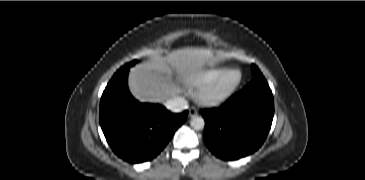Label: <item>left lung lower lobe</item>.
Segmentation results:
<instances>
[{
  "label": "left lung lower lobe",
  "instance_id": "left-lung-lower-lobe-1",
  "mask_svg": "<svg viewBox=\"0 0 365 180\" xmlns=\"http://www.w3.org/2000/svg\"><path fill=\"white\" fill-rule=\"evenodd\" d=\"M204 142L224 160L255 152L265 141L274 116V100L264 77L254 78L219 108L204 109Z\"/></svg>",
  "mask_w": 365,
  "mask_h": 180
}]
</instances>
